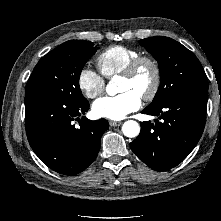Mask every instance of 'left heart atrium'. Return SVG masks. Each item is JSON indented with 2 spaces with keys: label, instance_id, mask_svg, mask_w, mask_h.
Here are the masks:
<instances>
[{
  "label": "left heart atrium",
  "instance_id": "1",
  "mask_svg": "<svg viewBox=\"0 0 221 221\" xmlns=\"http://www.w3.org/2000/svg\"><path fill=\"white\" fill-rule=\"evenodd\" d=\"M141 106V96L133 91H125L116 96H105L96 100L92 111L96 117L121 120Z\"/></svg>",
  "mask_w": 221,
  "mask_h": 221
}]
</instances>
